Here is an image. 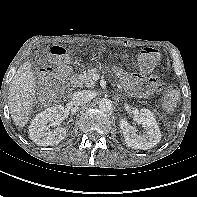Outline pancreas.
I'll list each match as a JSON object with an SVG mask.
<instances>
[{
  "instance_id": "pancreas-1",
  "label": "pancreas",
  "mask_w": 197,
  "mask_h": 197,
  "mask_svg": "<svg viewBox=\"0 0 197 197\" xmlns=\"http://www.w3.org/2000/svg\"><path fill=\"white\" fill-rule=\"evenodd\" d=\"M96 72H98L97 69H88V71H85L82 74L72 76L70 83L73 87L92 88L95 86V81L92 79V75Z\"/></svg>"
}]
</instances>
